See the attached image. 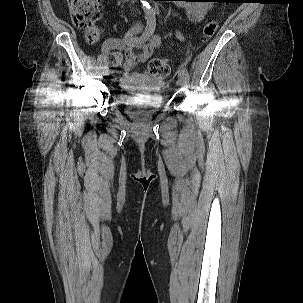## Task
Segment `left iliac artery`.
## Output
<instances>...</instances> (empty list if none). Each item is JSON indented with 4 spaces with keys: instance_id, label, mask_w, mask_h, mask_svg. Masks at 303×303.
<instances>
[{
    "instance_id": "left-iliac-artery-1",
    "label": "left iliac artery",
    "mask_w": 303,
    "mask_h": 303,
    "mask_svg": "<svg viewBox=\"0 0 303 303\" xmlns=\"http://www.w3.org/2000/svg\"><path fill=\"white\" fill-rule=\"evenodd\" d=\"M143 4L145 6V12H146L147 15H149V16H155L156 15V10L154 8H152L147 2H143ZM177 37L179 39H183L182 35L178 32H177ZM182 71L186 74V77L189 81L190 76H189V72H188L187 68L183 66Z\"/></svg>"
}]
</instances>
